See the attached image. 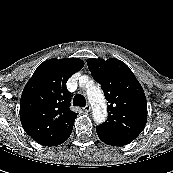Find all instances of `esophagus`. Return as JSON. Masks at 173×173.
<instances>
[{
    "instance_id": "obj_1",
    "label": "esophagus",
    "mask_w": 173,
    "mask_h": 173,
    "mask_svg": "<svg viewBox=\"0 0 173 173\" xmlns=\"http://www.w3.org/2000/svg\"><path fill=\"white\" fill-rule=\"evenodd\" d=\"M85 112H90L91 111V106L89 104H87L84 108Z\"/></svg>"
}]
</instances>
